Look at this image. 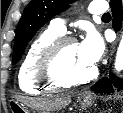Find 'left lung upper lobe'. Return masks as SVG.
Returning a JSON list of instances; mask_svg holds the SVG:
<instances>
[{"mask_svg": "<svg viewBox=\"0 0 123 113\" xmlns=\"http://www.w3.org/2000/svg\"><path fill=\"white\" fill-rule=\"evenodd\" d=\"M75 0H31L18 23L13 63H17L28 42L37 30L49 19L69 8Z\"/></svg>", "mask_w": 123, "mask_h": 113, "instance_id": "obj_1", "label": "left lung upper lobe"}]
</instances>
